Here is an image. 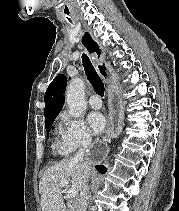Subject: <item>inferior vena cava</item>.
I'll use <instances>...</instances> for the list:
<instances>
[{"mask_svg":"<svg viewBox=\"0 0 179 211\" xmlns=\"http://www.w3.org/2000/svg\"><path fill=\"white\" fill-rule=\"evenodd\" d=\"M91 138L88 136L85 141L83 142L82 146L78 150V152L75 154L74 159L76 161L83 162L84 160V155L85 151L90 145ZM89 176L85 177V184L83 185L81 194H80V199H79V204H78V211H87V206H88V194H89V188L86 184Z\"/></svg>","mask_w":179,"mask_h":211,"instance_id":"obj_1","label":"inferior vena cava"}]
</instances>
